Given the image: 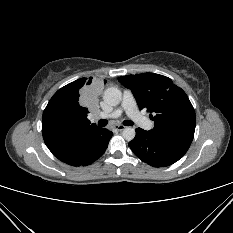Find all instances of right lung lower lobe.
I'll list each match as a JSON object with an SVG mask.
<instances>
[{
	"label": "right lung lower lobe",
	"mask_w": 233,
	"mask_h": 233,
	"mask_svg": "<svg viewBox=\"0 0 233 233\" xmlns=\"http://www.w3.org/2000/svg\"><path fill=\"white\" fill-rule=\"evenodd\" d=\"M111 137L112 132L104 129L102 134L90 142L84 149L74 153H58L52 146L47 145V147L62 162L72 166H85L103 155Z\"/></svg>",
	"instance_id": "obj_1"
}]
</instances>
